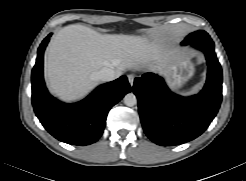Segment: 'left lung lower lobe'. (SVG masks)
Returning a JSON list of instances; mask_svg holds the SVG:
<instances>
[{"label":"left lung lower lobe","mask_w":246,"mask_h":181,"mask_svg":"<svg viewBox=\"0 0 246 181\" xmlns=\"http://www.w3.org/2000/svg\"><path fill=\"white\" fill-rule=\"evenodd\" d=\"M188 44L204 51L208 64L207 80L198 95L178 96L161 77L152 73L134 81L143 129L158 145H179L195 139L207 129L221 104L222 69L212 39H198Z\"/></svg>","instance_id":"0a47b994"}]
</instances>
